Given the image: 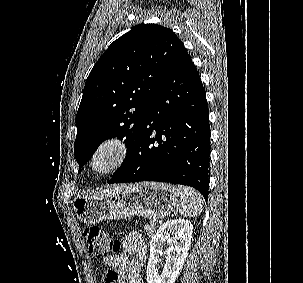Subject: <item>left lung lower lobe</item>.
Masks as SVG:
<instances>
[{
    "mask_svg": "<svg viewBox=\"0 0 303 283\" xmlns=\"http://www.w3.org/2000/svg\"><path fill=\"white\" fill-rule=\"evenodd\" d=\"M209 109L184 48L153 95L138 142L108 183L159 181L191 186L208 198Z\"/></svg>",
    "mask_w": 303,
    "mask_h": 283,
    "instance_id": "1",
    "label": "left lung lower lobe"
}]
</instances>
